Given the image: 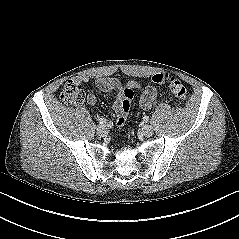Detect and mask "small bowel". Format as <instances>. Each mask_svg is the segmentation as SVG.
Instances as JSON below:
<instances>
[{
	"label": "small bowel",
	"mask_w": 239,
	"mask_h": 239,
	"mask_svg": "<svg viewBox=\"0 0 239 239\" xmlns=\"http://www.w3.org/2000/svg\"><path fill=\"white\" fill-rule=\"evenodd\" d=\"M88 76H77L73 79L78 85L85 84L89 82ZM95 86L98 90L104 93H111L114 95V101L112 108L115 113L120 111V105L123 97L122 85L119 80L111 77H101L95 80ZM128 87L137 89L141 92L139 104L143 109H150L156 102L157 90L153 86H148L142 88L138 82L130 81L127 83ZM97 102V97L94 94H89L87 96V103L89 105H95Z\"/></svg>",
	"instance_id": "obj_1"
}]
</instances>
